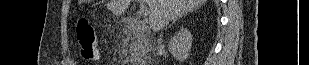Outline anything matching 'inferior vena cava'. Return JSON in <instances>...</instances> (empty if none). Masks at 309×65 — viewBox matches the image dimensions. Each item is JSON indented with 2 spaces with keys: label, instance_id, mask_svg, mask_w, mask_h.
<instances>
[{
  "label": "inferior vena cava",
  "instance_id": "602c4592",
  "mask_svg": "<svg viewBox=\"0 0 309 65\" xmlns=\"http://www.w3.org/2000/svg\"><path fill=\"white\" fill-rule=\"evenodd\" d=\"M167 25L165 24L164 26H163V28H161L160 30L161 31H163V29H164V27H166ZM163 34L161 33L160 34V37L158 38V40H157V47H156V50H157V55H159L160 54V52H161V50H162V48H163V45H162V43H163Z\"/></svg>",
  "mask_w": 309,
  "mask_h": 65
}]
</instances>
